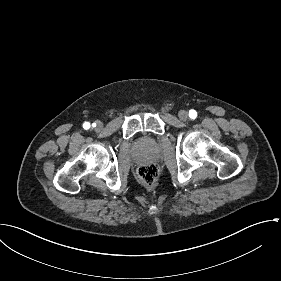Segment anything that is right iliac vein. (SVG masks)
I'll use <instances>...</instances> for the list:
<instances>
[{
  "instance_id": "right-iliac-vein-1",
  "label": "right iliac vein",
  "mask_w": 281,
  "mask_h": 281,
  "mask_svg": "<svg viewBox=\"0 0 281 281\" xmlns=\"http://www.w3.org/2000/svg\"><path fill=\"white\" fill-rule=\"evenodd\" d=\"M103 125L101 122L96 123V130L100 131L102 129Z\"/></svg>"
}]
</instances>
